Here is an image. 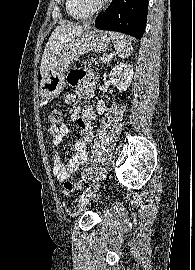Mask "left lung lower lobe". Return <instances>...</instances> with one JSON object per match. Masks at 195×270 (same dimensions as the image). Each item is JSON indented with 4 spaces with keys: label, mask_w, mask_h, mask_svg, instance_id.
Masks as SVG:
<instances>
[{
    "label": "left lung lower lobe",
    "mask_w": 195,
    "mask_h": 270,
    "mask_svg": "<svg viewBox=\"0 0 195 270\" xmlns=\"http://www.w3.org/2000/svg\"><path fill=\"white\" fill-rule=\"evenodd\" d=\"M148 0H113L95 20L100 30L116 31L140 39L145 31Z\"/></svg>",
    "instance_id": "obj_1"
}]
</instances>
